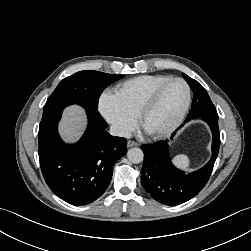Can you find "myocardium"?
<instances>
[{
  "mask_svg": "<svg viewBox=\"0 0 251 251\" xmlns=\"http://www.w3.org/2000/svg\"><path fill=\"white\" fill-rule=\"evenodd\" d=\"M173 82H181L185 86L186 91H187L186 102H185L181 112L179 113L177 118L168 127H166L165 129L157 131V132H148V131H146L144 129L145 117L153 109V107L157 103V101H158L161 93L163 92V90L169 84H171ZM191 100H192V90H191V87L188 84V82L185 79L180 78V77L170 78V79L166 80L165 82H163L162 84H160L158 87H156L152 91V93L147 97V99L144 101V103L142 104V106L139 109V112L137 114L139 126L151 138H162V137L168 136L171 133H173L182 124V122L185 119V117L187 115V112H188V110L190 108Z\"/></svg>",
  "mask_w": 251,
  "mask_h": 251,
  "instance_id": "1",
  "label": "myocardium"
}]
</instances>
